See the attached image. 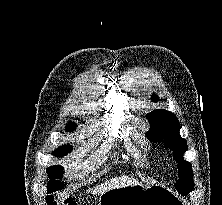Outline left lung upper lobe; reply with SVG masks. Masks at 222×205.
<instances>
[{
  "instance_id": "1",
  "label": "left lung upper lobe",
  "mask_w": 222,
  "mask_h": 205,
  "mask_svg": "<svg viewBox=\"0 0 222 205\" xmlns=\"http://www.w3.org/2000/svg\"><path fill=\"white\" fill-rule=\"evenodd\" d=\"M157 101L156 95L152 96ZM150 123V129L146 133L149 140L164 142L174 153V159L178 162V174L180 179L176 182V189L181 194H188L194 187L191 163L183 159L187 151L186 141L179 135L180 124L176 116L169 111L159 109L146 115Z\"/></svg>"
}]
</instances>
